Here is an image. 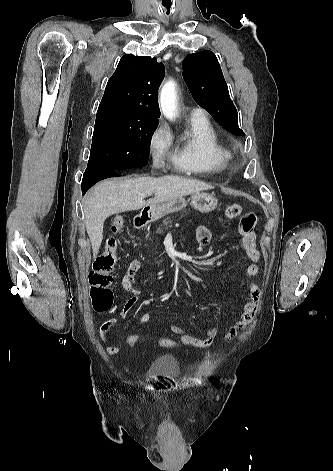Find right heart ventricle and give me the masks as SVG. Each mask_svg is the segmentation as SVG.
<instances>
[{
    "label": "right heart ventricle",
    "instance_id": "e07e8e85",
    "mask_svg": "<svg viewBox=\"0 0 333 471\" xmlns=\"http://www.w3.org/2000/svg\"><path fill=\"white\" fill-rule=\"evenodd\" d=\"M175 167L188 174H208L225 169L230 152L205 115L191 117L185 132L173 146Z\"/></svg>",
    "mask_w": 333,
    "mask_h": 471
}]
</instances>
